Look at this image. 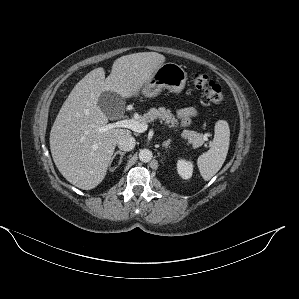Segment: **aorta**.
Here are the masks:
<instances>
[{
	"mask_svg": "<svg viewBox=\"0 0 299 299\" xmlns=\"http://www.w3.org/2000/svg\"><path fill=\"white\" fill-rule=\"evenodd\" d=\"M153 157L152 151L149 149H142L139 152V159L141 162L147 163L150 162Z\"/></svg>",
	"mask_w": 299,
	"mask_h": 299,
	"instance_id": "1",
	"label": "aorta"
}]
</instances>
